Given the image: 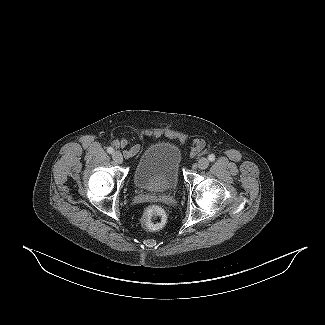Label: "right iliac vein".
Wrapping results in <instances>:
<instances>
[{"mask_svg": "<svg viewBox=\"0 0 325 325\" xmlns=\"http://www.w3.org/2000/svg\"><path fill=\"white\" fill-rule=\"evenodd\" d=\"M112 158L116 163L121 164L123 162V156L119 151L113 152Z\"/></svg>", "mask_w": 325, "mask_h": 325, "instance_id": "obj_1", "label": "right iliac vein"}]
</instances>
